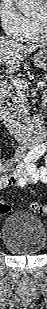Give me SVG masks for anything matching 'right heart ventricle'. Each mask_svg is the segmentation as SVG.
I'll use <instances>...</instances> for the list:
<instances>
[{
  "instance_id": "1",
  "label": "right heart ventricle",
  "mask_w": 47,
  "mask_h": 309,
  "mask_svg": "<svg viewBox=\"0 0 47 309\" xmlns=\"http://www.w3.org/2000/svg\"><path fill=\"white\" fill-rule=\"evenodd\" d=\"M27 26V33L22 39V41L33 44H38L44 41L45 37H43L40 33V30L38 29L35 20L27 19Z\"/></svg>"
}]
</instances>
